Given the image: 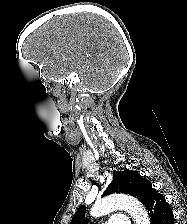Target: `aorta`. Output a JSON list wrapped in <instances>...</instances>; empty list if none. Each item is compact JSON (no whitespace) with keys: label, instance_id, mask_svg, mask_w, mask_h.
<instances>
[{"label":"aorta","instance_id":"762f6f07","mask_svg":"<svg viewBox=\"0 0 187 224\" xmlns=\"http://www.w3.org/2000/svg\"><path fill=\"white\" fill-rule=\"evenodd\" d=\"M117 209L125 210L136 224H150L146 209L135 198L130 196H109L96 202L90 210L92 217H100Z\"/></svg>","mask_w":187,"mask_h":224}]
</instances>
